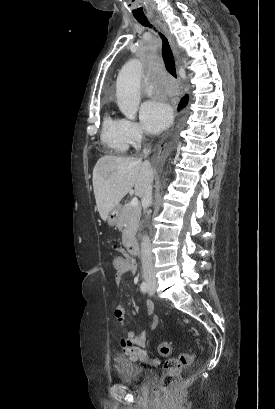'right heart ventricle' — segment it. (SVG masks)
Wrapping results in <instances>:
<instances>
[{
    "mask_svg": "<svg viewBox=\"0 0 275 409\" xmlns=\"http://www.w3.org/2000/svg\"><path fill=\"white\" fill-rule=\"evenodd\" d=\"M101 138L112 155L126 154L129 147L123 120L113 119L107 115L104 118Z\"/></svg>",
    "mask_w": 275,
    "mask_h": 409,
    "instance_id": "right-heart-ventricle-1",
    "label": "right heart ventricle"
}]
</instances>
